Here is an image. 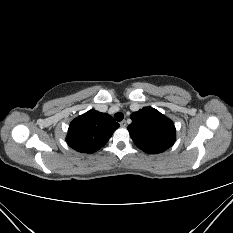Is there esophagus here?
Segmentation results:
<instances>
[{"instance_id":"1","label":"esophagus","mask_w":233,"mask_h":233,"mask_svg":"<svg viewBox=\"0 0 233 233\" xmlns=\"http://www.w3.org/2000/svg\"><path fill=\"white\" fill-rule=\"evenodd\" d=\"M126 125H127V123H126L125 120H123V121L120 122V126H121V127H126Z\"/></svg>"}]
</instances>
